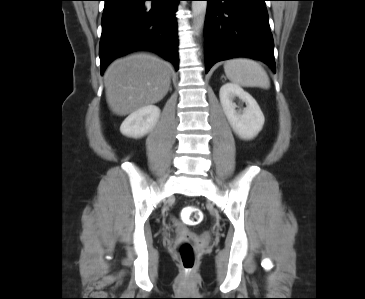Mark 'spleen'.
I'll use <instances>...</instances> for the list:
<instances>
[{
	"mask_svg": "<svg viewBox=\"0 0 365 299\" xmlns=\"http://www.w3.org/2000/svg\"><path fill=\"white\" fill-rule=\"evenodd\" d=\"M227 78L243 87L269 88L270 81L265 70L256 62L247 58L230 59L224 64Z\"/></svg>",
	"mask_w": 365,
	"mask_h": 299,
	"instance_id": "3e777b00",
	"label": "spleen"
}]
</instances>
